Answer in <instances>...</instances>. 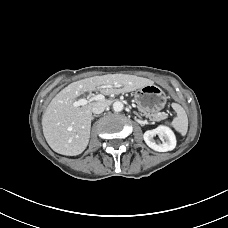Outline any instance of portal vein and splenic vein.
<instances>
[{"mask_svg":"<svg viewBox=\"0 0 228 228\" xmlns=\"http://www.w3.org/2000/svg\"><path fill=\"white\" fill-rule=\"evenodd\" d=\"M104 98L105 97L102 94L92 95V96H89L87 98H81L78 101H75L73 103V105L76 107L77 106H84L87 103L92 102V101H102V100H104Z\"/></svg>","mask_w":228,"mask_h":228,"instance_id":"1","label":"portal vein and splenic vein"}]
</instances>
